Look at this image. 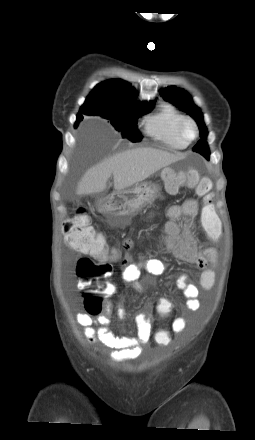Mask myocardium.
<instances>
[{
  "mask_svg": "<svg viewBox=\"0 0 255 440\" xmlns=\"http://www.w3.org/2000/svg\"><path fill=\"white\" fill-rule=\"evenodd\" d=\"M186 127H191L193 129V135L191 137H188L185 134V128ZM177 132H178L179 137L184 142L189 144V143L193 142L194 140H196L198 138V136H199V127H198L196 121L193 118H191V117H184L180 121V123L178 125Z\"/></svg>",
  "mask_w": 255,
  "mask_h": 440,
  "instance_id": "f54148a6",
  "label": "myocardium"
}]
</instances>
